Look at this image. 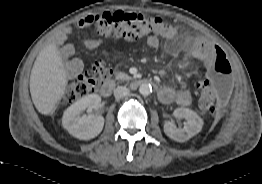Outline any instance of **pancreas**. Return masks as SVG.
I'll return each mask as SVG.
<instances>
[{"label":"pancreas","mask_w":262,"mask_h":184,"mask_svg":"<svg viewBox=\"0 0 262 184\" xmlns=\"http://www.w3.org/2000/svg\"><path fill=\"white\" fill-rule=\"evenodd\" d=\"M116 79L120 80V81H125V80H131L132 78L130 76H128L126 73L124 72H118L116 73Z\"/></svg>","instance_id":"1"}]
</instances>
